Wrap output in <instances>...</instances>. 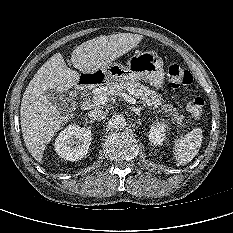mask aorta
Masks as SVG:
<instances>
[{
	"instance_id": "obj_1",
	"label": "aorta",
	"mask_w": 233,
	"mask_h": 233,
	"mask_svg": "<svg viewBox=\"0 0 233 233\" xmlns=\"http://www.w3.org/2000/svg\"><path fill=\"white\" fill-rule=\"evenodd\" d=\"M109 124L112 128L120 130L126 126V120L123 115L116 114L109 120Z\"/></svg>"
}]
</instances>
